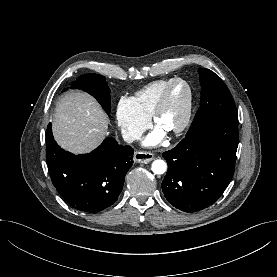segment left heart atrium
<instances>
[{
	"label": "left heart atrium",
	"mask_w": 277,
	"mask_h": 277,
	"mask_svg": "<svg viewBox=\"0 0 277 277\" xmlns=\"http://www.w3.org/2000/svg\"><path fill=\"white\" fill-rule=\"evenodd\" d=\"M165 136V132L159 128H156L150 135H148L144 141L143 145L145 146H155L159 144Z\"/></svg>",
	"instance_id": "1"
}]
</instances>
